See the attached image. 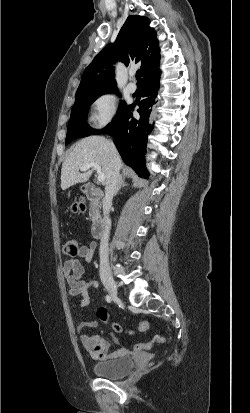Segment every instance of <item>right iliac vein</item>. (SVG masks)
I'll return each mask as SVG.
<instances>
[{
	"label": "right iliac vein",
	"mask_w": 250,
	"mask_h": 413,
	"mask_svg": "<svg viewBox=\"0 0 250 413\" xmlns=\"http://www.w3.org/2000/svg\"><path fill=\"white\" fill-rule=\"evenodd\" d=\"M102 282L114 301H119L117 286L109 274L101 275Z\"/></svg>",
	"instance_id": "63e3f726"
}]
</instances>
